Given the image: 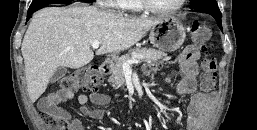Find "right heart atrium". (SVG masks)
<instances>
[{
    "label": "right heart atrium",
    "instance_id": "1",
    "mask_svg": "<svg viewBox=\"0 0 257 130\" xmlns=\"http://www.w3.org/2000/svg\"><path fill=\"white\" fill-rule=\"evenodd\" d=\"M119 0H99V4L109 8H119Z\"/></svg>",
    "mask_w": 257,
    "mask_h": 130
}]
</instances>
